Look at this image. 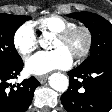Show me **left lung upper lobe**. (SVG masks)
<instances>
[{"label":"left lung upper lobe","instance_id":"obj_1","mask_svg":"<svg viewBox=\"0 0 112 112\" xmlns=\"http://www.w3.org/2000/svg\"><path fill=\"white\" fill-rule=\"evenodd\" d=\"M68 16L84 23L92 35L90 56L79 67L87 68L97 62L112 59V24L109 21L91 12L71 13Z\"/></svg>","mask_w":112,"mask_h":112}]
</instances>
